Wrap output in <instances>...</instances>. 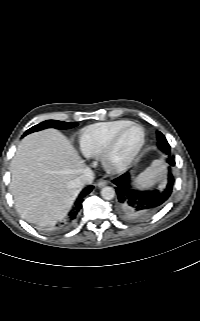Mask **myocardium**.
I'll return each instance as SVG.
<instances>
[{"label": "myocardium", "instance_id": "obj_1", "mask_svg": "<svg viewBox=\"0 0 200 321\" xmlns=\"http://www.w3.org/2000/svg\"><path fill=\"white\" fill-rule=\"evenodd\" d=\"M130 127H139L142 131V138L140 143L137 145V147L124 159L120 161L114 160V155L116 152V149L118 147V144L120 142L121 137L123 134L128 130ZM146 142V131L144 127L136 122H130L124 127H122L111 139V141L108 143L106 148L103 150V152L100 155L101 163L103 168L110 174H121L125 172L133 163L135 158L138 156V154L141 152L142 148L144 147Z\"/></svg>", "mask_w": 200, "mask_h": 321}]
</instances>
